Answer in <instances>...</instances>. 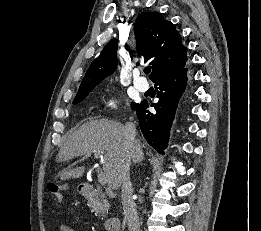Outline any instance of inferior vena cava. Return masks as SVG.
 <instances>
[{
    "label": "inferior vena cava",
    "instance_id": "inferior-vena-cava-1",
    "mask_svg": "<svg viewBox=\"0 0 261 231\" xmlns=\"http://www.w3.org/2000/svg\"><path fill=\"white\" fill-rule=\"evenodd\" d=\"M136 128L133 123L125 124V139L126 143L130 148V155L133 161H139L142 158V151L135 142ZM129 164L126 166L122 173V205L124 216L127 219L130 231H140L139 217L136 210V204L132 198V184L129 174Z\"/></svg>",
    "mask_w": 261,
    "mask_h": 231
}]
</instances>
